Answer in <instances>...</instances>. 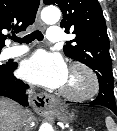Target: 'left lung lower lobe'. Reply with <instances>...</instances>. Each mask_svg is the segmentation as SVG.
Returning <instances> with one entry per match:
<instances>
[{"mask_svg":"<svg viewBox=\"0 0 117 131\" xmlns=\"http://www.w3.org/2000/svg\"><path fill=\"white\" fill-rule=\"evenodd\" d=\"M111 95H112V92L104 88L103 90H99V95L94 101L86 103V104L105 106L109 108L110 110H112L117 116L116 104H115V101L114 102L112 101Z\"/></svg>","mask_w":117,"mask_h":131,"instance_id":"left-lung-lower-lobe-1","label":"left lung lower lobe"}]
</instances>
